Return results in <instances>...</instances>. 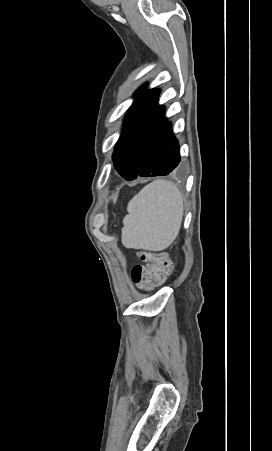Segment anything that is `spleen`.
<instances>
[{"instance_id":"3e777b00","label":"spleen","mask_w":272,"mask_h":451,"mask_svg":"<svg viewBox=\"0 0 272 451\" xmlns=\"http://www.w3.org/2000/svg\"><path fill=\"white\" fill-rule=\"evenodd\" d=\"M123 220L122 243L161 251L176 239L183 218L182 196L173 182L155 180L130 200Z\"/></svg>"}]
</instances>
